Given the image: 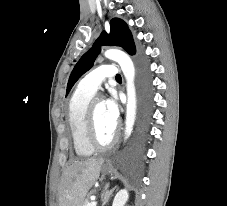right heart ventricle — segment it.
<instances>
[{
    "label": "right heart ventricle",
    "mask_w": 227,
    "mask_h": 206,
    "mask_svg": "<svg viewBox=\"0 0 227 206\" xmlns=\"http://www.w3.org/2000/svg\"><path fill=\"white\" fill-rule=\"evenodd\" d=\"M93 92L77 88L68 104L67 122L70 129L73 148L77 156L88 157L94 152L86 138V116Z\"/></svg>",
    "instance_id": "obj_1"
}]
</instances>
